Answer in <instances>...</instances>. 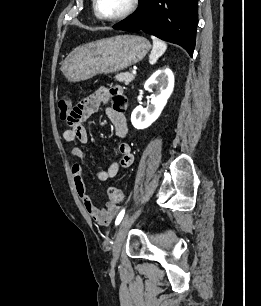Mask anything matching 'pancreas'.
Instances as JSON below:
<instances>
[{"mask_svg":"<svg viewBox=\"0 0 261 306\" xmlns=\"http://www.w3.org/2000/svg\"><path fill=\"white\" fill-rule=\"evenodd\" d=\"M116 79L121 82L124 83L125 85H129L130 82H132L135 79V76L131 73L125 72V73H118L116 75Z\"/></svg>","mask_w":261,"mask_h":306,"instance_id":"obj_1","label":"pancreas"}]
</instances>
